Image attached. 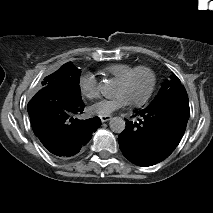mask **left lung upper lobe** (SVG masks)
Returning a JSON list of instances; mask_svg holds the SVG:
<instances>
[{
  "label": "left lung upper lobe",
  "mask_w": 213,
  "mask_h": 213,
  "mask_svg": "<svg viewBox=\"0 0 213 213\" xmlns=\"http://www.w3.org/2000/svg\"><path fill=\"white\" fill-rule=\"evenodd\" d=\"M147 108H172L187 116L190 115L188 95L175 74H172L170 79L165 80L159 93Z\"/></svg>",
  "instance_id": "5c2ea615"
}]
</instances>
